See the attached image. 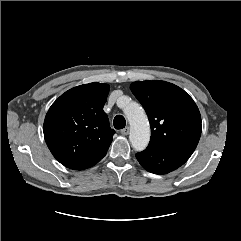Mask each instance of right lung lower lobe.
<instances>
[{
    "mask_svg": "<svg viewBox=\"0 0 241 241\" xmlns=\"http://www.w3.org/2000/svg\"><path fill=\"white\" fill-rule=\"evenodd\" d=\"M102 158H103V157H102ZM102 158H100V159H98V160H96V161H94V162H91V163H89V164H85V165H81V166L75 167V168H73V169H74V170H82V169L89 168V167L95 165L96 163H98Z\"/></svg>",
    "mask_w": 241,
    "mask_h": 241,
    "instance_id": "right-lung-lower-lobe-1",
    "label": "right lung lower lobe"
}]
</instances>
